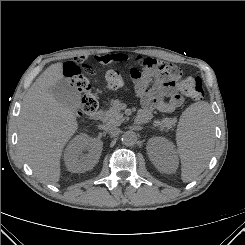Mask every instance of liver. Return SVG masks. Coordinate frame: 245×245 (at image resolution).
Returning <instances> with one entry per match:
<instances>
[{
    "instance_id": "1",
    "label": "liver",
    "mask_w": 245,
    "mask_h": 245,
    "mask_svg": "<svg viewBox=\"0 0 245 245\" xmlns=\"http://www.w3.org/2000/svg\"><path fill=\"white\" fill-rule=\"evenodd\" d=\"M62 78V63L49 66L28 89L19 117V152L44 183L59 181L63 148L78 129L73 110L50 90Z\"/></svg>"
}]
</instances>
